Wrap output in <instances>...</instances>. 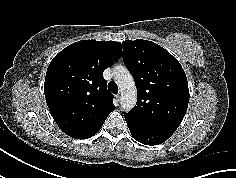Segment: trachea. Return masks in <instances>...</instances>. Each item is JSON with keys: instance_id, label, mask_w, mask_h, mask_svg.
I'll use <instances>...</instances> for the list:
<instances>
[{"instance_id": "3493384b", "label": "trachea", "mask_w": 236, "mask_h": 178, "mask_svg": "<svg viewBox=\"0 0 236 178\" xmlns=\"http://www.w3.org/2000/svg\"><path fill=\"white\" fill-rule=\"evenodd\" d=\"M108 90L112 92L113 94L118 93V86L115 82L111 81L108 83Z\"/></svg>"}]
</instances>
